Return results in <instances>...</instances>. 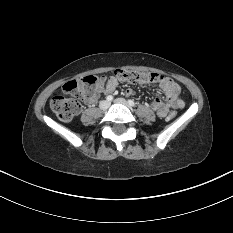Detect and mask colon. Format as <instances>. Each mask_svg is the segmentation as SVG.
Returning a JSON list of instances; mask_svg holds the SVG:
<instances>
[{
    "label": "colon",
    "mask_w": 233,
    "mask_h": 233,
    "mask_svg": "<svg viewBox=\"0 0 233 233\" xmlns=\"http://www.w3.org/2000/svg\"><path fill=\"white\" fill-rule=\"evenodd\" d=\"M115 77L124 82L136 84H154L162 78L153 72H139L127 69H118ZM99 86V79L88 75L80 79L70 80L63 85V92L71 97L56 96L51 101V109L62 121H70L76 116L81 108L80 100L87 99L95 94ZM176 116L174 112L169 114V118Z\"/></svg>",
    "instance_id": "obj_1"
}]
</instances>
